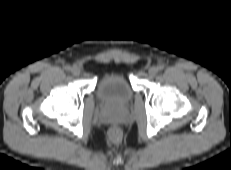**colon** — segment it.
Masks as SVG:
<instances>
[{
  "mask_svg": "<svg viewBox=\"0 0 231 170\" xmlns=\"http://www.w3.org/2000/svg\"><path fill=\"white\" fill-rule=\"evenodd\" d=\"M109 138L113 142H119L122 137V132L118 127H112L108 132Z\"/></svg>",
  "mask_w": 231,
  "mask_h": 170,
  "instance_id": "5ec220e1",
  "label": "colon"
}]
</instances>
